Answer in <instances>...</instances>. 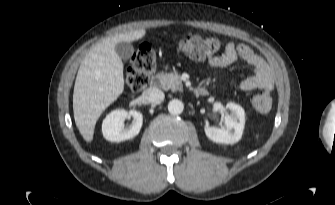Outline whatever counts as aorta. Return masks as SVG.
Segmentation results:
<instances>
[{"instance_id":"1","label":"aorta","mask_w":335,"mask_h":205,"mask_svg":"<svg viewBox=\"0 0 335 205\" xmlns=\"http://www.w3.org/2000/svg\"><path fill=\"white\" fill-rule=\"evenodd\" d=\"M184 110V104L181 100L172 99L168 103V111L171 114L178 115L181 114Z\"/></svg>"}]
</instances>
